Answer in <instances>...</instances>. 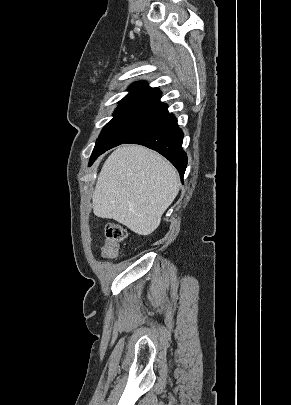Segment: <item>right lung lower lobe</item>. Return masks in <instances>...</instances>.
Here are the masks:
<instances>
[{
	"instance_id": "98d812e1",
	"label": "right lung lower lobe",
	"mask_w": 291,
	"mask_h": 405,
	"mask_svg": "<svg viewBox=\"0 0 291 405\" xmlns=\"http://www.w3.org/2000/svg\"><path fill=\"white\" fill-rule=\"evenodd\" d=\"M183 132L173 114H167L154 125L133 136L125 144H140L156 150L178 170L181 179L187 167V155L182 149Z\"/></svg>"
}]
</instances>
